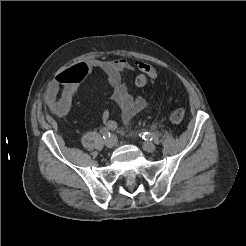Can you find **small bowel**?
I'll return each mask as SVG.
<instances>
[{
    "instance_id": "1",
    "label": "small bowel",
    "mask_w": 246,
    "mask_h": 246,
    "mask_svg": "<svg viewBox=\"0 0 246 246\" xmlns=\"http://www.w3.org/2000/svg\"><path fill=\"white\" fill-rule=\"evenodd\" d=\"M96 69L101 70L107 78L112 88L111 97L120 107L124 123L130 122L147 106L143 97L130 94L123 79L124 72L134 70L128 60L123 58L109 61L91 59L60 72L50 84L45 95V103L51 113L59 118L65 117L71 109L73 97L79 84ZM102 120L107 129L115 130L117 128V123L110 119L107 110L103 112Z\"/></svg>"
}]
</instances>
